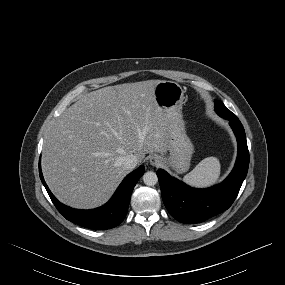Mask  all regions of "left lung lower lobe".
Listing matches in <instances>:
<instances>
[{
    "label": "left lung lower lobe",
    "mask_w": 285,
    "mask_h": 285,
    "mask_svg": "<svg viewBox=\"0 0 285 285\" xmlns=\"http://www.w3.org/2000/svg\"><path fill=\"white\" fill-rule=\"evenodd\" d=\"M225 119L229 120L237 138L238 155L235 167L222 183L206 189H195L171 177L164 170L157 171L163 202L179 222L200 223L227 210L247 175L249 151L244 128L238 118Z\"/></svg>",
    "instance_id": "obj_1"
}]
</instances>
